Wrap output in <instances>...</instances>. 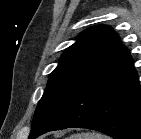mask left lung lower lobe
Here are the masks:
<instances>
[{"mask_svg":"<svg viewBox=\"0 0 141 139\" xmlns=\"http://www.w3.org/2000/svg\"><path fill=\"white\" fill-rule=\"evenodd\" d=\"M66 128H88L115 139H141V87L124 48L84 82L33 137Z\"/></svg>","mask_w":141,"mask_h":139,"instance_id":"1","label":"left lung lower lobe"}]
</instances>
